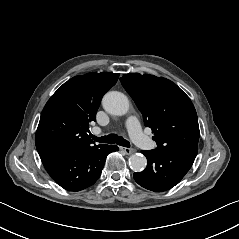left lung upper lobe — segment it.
<instances>
[{
	"label": "left lung upper lobe",
	"instance_id": "1",
	"mask_svg": "<svg viewBox=\"0 0 239 239\" xmlns=\"http://www.w3.org/2000/svg\"><path fill=\"white\" fill-rule=\"evenodd\" d=\"M120 81L155 134L159 150H198L199 125L190 98L172 81L154 75L124 74Z\"/></svg>",
	"mask_w": 239,
	"mask_h": 239
}]
</instances>
